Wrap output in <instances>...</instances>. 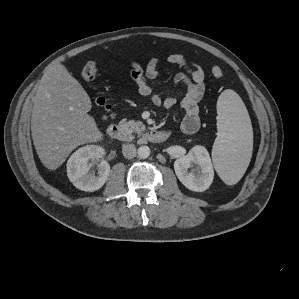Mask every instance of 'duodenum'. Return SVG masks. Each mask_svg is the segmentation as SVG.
I'll use <instances>...</instances> for the list:
<instances>
[{"mask_svg": "<svg viewBox=\"0 0 299 299\" xmlns=\"http://www.w3.org/2000/svg\"><path fill=\"white\" fill-rule=\"evenodd\" d=\"M107 134L116 140L119 141H129L130 137L126 130L119 124L112 123L107 128ZM169 132L165 130H152L144 134L143 139L155 142V143H161L168 139Z\"/></svg>", "mask_w": 299, "mask_h": 299, "instance_id": "1", "label": "duodenum"}]
</instances>
